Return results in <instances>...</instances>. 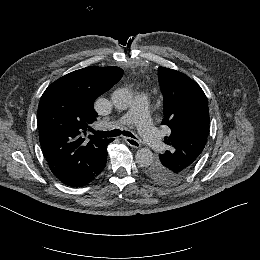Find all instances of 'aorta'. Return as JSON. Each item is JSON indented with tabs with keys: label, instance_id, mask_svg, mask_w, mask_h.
Returning <instances> with one entry per match:
<instances>
[{
	"label": "aorta",
	"instance_id": "aorta-1",
	"mask_svg": "<svg viewBox=\"0 0 260 260\" xmlns=\"http://www.w3.org/2000/svg\"><path fill=\"white\" fill-rule=\"evenodd\" d=\"M114 107L118 110H126L130 107L133 96L130 90L120 88L115 90L111 96ZM136 162L142 167H148L153 163L154 156L149 148H140L135 155Z\"/></svg>",
	"mask_w": 260,
	"mask_h": 260
}]
</instances>
